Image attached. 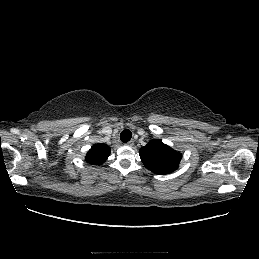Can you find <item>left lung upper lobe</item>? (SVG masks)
<instances>
[{
  "mask_svg": "<svg viewBox=\"0 0 259 259\" xmlns=\"http://www.w3.org/2000/svg\"><path fill=\"white\" fill-rule=\"evenodd\" d=\"M139 155L145 167L153 173L164 175L175 171L182 154L173 150L158 139L150 141L139 150Z\"/></svg>",
  "mask_w": 259,
  "mask_h": 259,
  "instance_id": "5c2ea615",
  "label": "left lung upper lobe"
}]
</instances>
